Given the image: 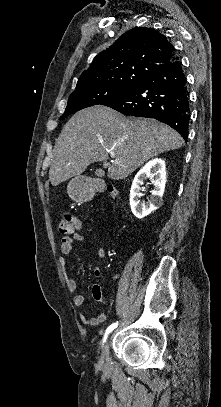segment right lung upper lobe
<instances>
[{"instance_id":"right-lung-upper-lobe-1","label":"right lung upper lobe","mask_w":221,"mask_h":407,"mask_svg":"<svg viewBox=\"0 0 221 407\" xmlns=\"http://www.w3.org/2000/svg\"><path fill=\"white\" fill-rule=\"evenodd\" d=\"M175 57L174 46L164 35L152 28L135 27L94 58L76 90L95 85L135 86Z\"/></svg>"}]
</instances>
